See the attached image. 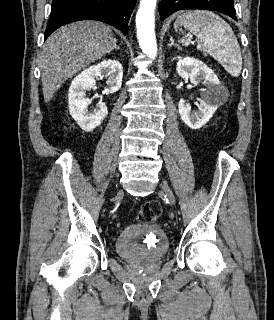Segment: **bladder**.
Wrapping results in <instances>:
<instances>
[{
    "label": "bladder",
    "instance_id": "1",
    "mask_svg": "<svg viewBox=\"0 0 274 320\" xmlns=\"http://www.w3.org/2000/svg\"><path fill=\"white\" fill-rule=\"evenodd\" d=\"M115 251L128 261H156L169 249L166 233L149 223L130 224L120 230L115 239Z\"/></svg>",
    "mask_w": 274,
    "mask_h": 320
}]
</instances>
